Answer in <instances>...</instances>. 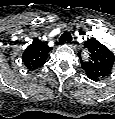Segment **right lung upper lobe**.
<instances>
[{
	"instance_id": "obj_1",
	"label": "right lung upper lobe",
	"mask_w": 115,
	"mask_h": 119,
	"mask_svg": "<svg viewBox=\"0 0 115 119\" xmlns=\"http://www.w3.org/2000/svg\"><path fill=\"white\" fill-rule=\"evenodd\" d=\"M52 48L35 38L22 55V61L29 70L37 69L45 64Z\"/></svg>"
}]
</instances>
